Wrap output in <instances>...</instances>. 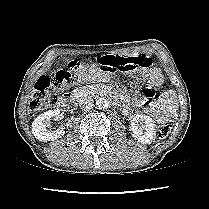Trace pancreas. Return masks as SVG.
Instances as JSON below:
<instances>
[{
  "label": "pancreas",
  "mask_w": 209,
  "mask_h": 209,
  "mask_svg": "<svg viewBox=\"0 0 209 209\" xmlns=\"http://www.w3.org/2000/svg\"><path fill=\"white\" fill-rule=\"evenodd\" d=\"M80 95H95L99 93V89L95 85H87L76 90Z\"/></svg>",
  "instance_id": "pancreas-1"
}]
</instances>
